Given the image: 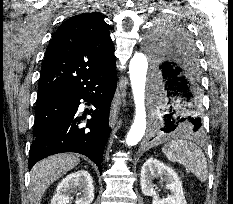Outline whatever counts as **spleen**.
I'll return each mask as SVG.
<instances>
[{"label":"spleen","mask_w":233,"mask_h":204,"mask_svg":"<svg viewBox=\"0 0 233 204\" xmlns=\"http://www.w3.org/2000/svg\"><path fill=\"white\" fill-rule=\"evenodd\" d=\"M162 152L172 161L188 168L200 182L208 179L207 161L203 151L187 139H174L165 144Z\"/></svg>","instance_id":"3e777b00"}]
</instances>
